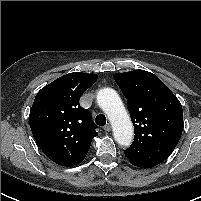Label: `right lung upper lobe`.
Masks as SVG:
<instances>
[{"label": "right lung upper lobe", "mask_w": 201, "mask_h": 201, "mask_svg": "<svg viewBox=\"0 0 201 201\" xmlns=\"http://www.w3.org/2000/svg\"><path fill=\"white\" fill-rule=\"evenodd\" d=\"M96 74L73 72L42 88L30 110L32 134L43 153L62 166L81 163L89 151L97 126L79 104L95 83Z\"/></svg>", "instance_id": "cb5924a9"}]
</instances>
